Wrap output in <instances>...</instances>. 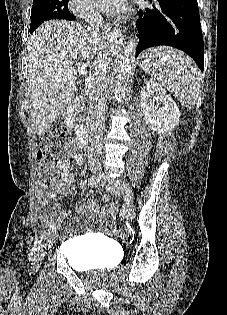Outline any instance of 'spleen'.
I'll list each match as a JSON object with an SVG mask.
<instances>
[{
  "instance_id": "obj_1",
  "label": "spleen",
  "mask_w": 227,
  "mask_h": 315,
  "mask_svg": "<svg viewBox=\"0 0 227 315\" xmlns=\"http://www.w3.org/2000/svg\"><path fill=\"white\" fill-rule=\"evenodd\" d=\"M140 67L173 93L186 107L192 108L200 93L201 73L191 58L169 47L146 50Z\"/></svg>"
}]
</instances>
